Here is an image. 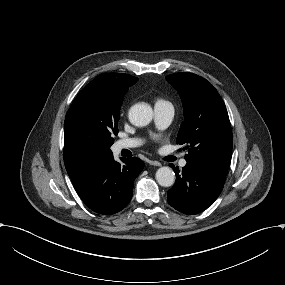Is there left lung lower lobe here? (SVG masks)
<instances>
[{
  "label": "left lung lower lobe",
  "instance_id": "obj_1",
  "mask_svg": "<svg viewBox=\"0 0 285 285\" xmlns=\"http://www.w3.org/2000/svg\"><path fill=\"white\" fill-rule=\"evenodd\" d=\"M170 166L176 173V181L168 191L167 200L176 210L185 214L200 213L220 195L226 173L187 162L179 175L178 168Z\"/></svg>",
  "mask_w": 285,
  "mask_h": 285
}]
</instances>
